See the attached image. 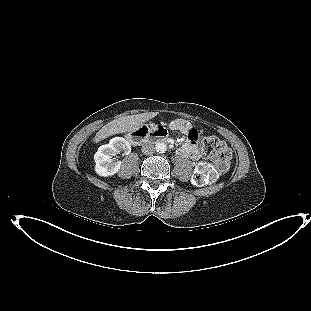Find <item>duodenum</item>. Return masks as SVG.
I'll list each match as a JSON object with an SVG mask.
<instances>
[{
	"label": "duodenum",
	"instance_id": "1",
	"mask_svg": "<svg viewBox=\"0 0 311 311\" xmlns=\"http://www.w3.org/2000/svg\"><path fill=\"white\" fill-rule=\"evenodd\" d=\"M151 136L156 137L158 141L168 142L165 131L161 128L151 129L148 127H142L139 130L133 132L130 136V142L135 145H141L147 142Z\"/></svg>",
	"mask_w": 311,
	"mask_h": 311
}]
</instances>
